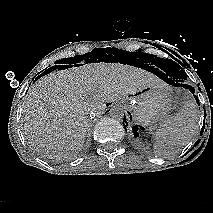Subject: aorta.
Listing matches in <instances>:
<instances>
[{"label": "aorta", "instance_id": "762f6f07", "mask_svg": "<svg viewBox=\"0 0 213 213\" xmlns=\"http://www.w3.org/2000/svg\"><path fill=\"white\" fill-rule=\"evenodd\" d=\"M124 113L125 110L123 106L119 104L114 105L109 111L110 117L115 120H122L124 118Z\"/></svg>", "mask_w": 213, "mask_h": 213}]
</instances>
